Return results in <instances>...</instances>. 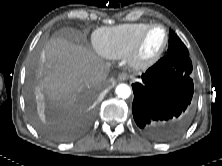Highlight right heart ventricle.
<instances>
[{"label":"right heart ventricle","instance_id":"obj_1","mask_svg":"<svg viewBox=\"0 0 222 166\" xmlns=\"http://www.w3.org/2000/svg\"><path fill=\"white\" fill-rule=\"evenodd\" d=\"M150 24L145 22L100 28L93 34L95 49L102 56L112 59L127 56L139 34Z\"/></svg>","mask_w":222,"mask_h":166}]
</instances>
